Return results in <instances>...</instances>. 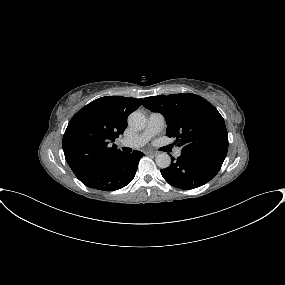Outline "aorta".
I'll return each mask as SVG.
<instances>
[{"label": "aorta", "instance_id": "obj_1", "mask_svg": "<svg viewBox=\"0 0 285 285\" xmlns=\"http://www.w3.org/2000/svg\"><path fill=\"white\" fill-rule=\"evenodd\" d=\"M147 123L146 117L139 111L132 112L128 117V125L134 130H142L145 128ZM155 162L161 169L168 168L171 164L170 156L163 152L156 156Z\"/></svg>", "mask_w": 285, "mask_h": 285}]
</instances>
